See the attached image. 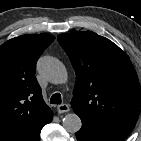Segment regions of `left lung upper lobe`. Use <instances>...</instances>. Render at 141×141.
<instances>
[{
  "mask_svg": "<svg viewBox=\"0 0 141 141\" xmlns=\"http://www.w3.org/2000/svg\"><path fill=\"white\" fill-rule=\"evenodd\" d=\"M58 42L76 72L71 106L82 124L125 139L140 112L136 71L112 41L91 31L61 34Z\"/></svg>",
  "mask_w": 141,
  "mask_h": 141,
  "instance_id": "left-lung-upper-lobe-1",
  "label": "left lung upper lobe"
}]
</instances>
